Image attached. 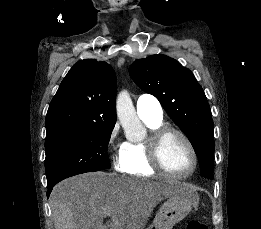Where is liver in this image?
<instances>
[{
	"label": "liver",
	"mask_w": 261,
	"mask_h": 229,
	"mask_svg": "<svg viewBox=\"0 0 261 229\" xmlns=\"http://www.w3.org/2000/svg\"><path fill=\"white\" fill-rule=\"evenodd\" d=\"M179 193L163 181L84 173L53 189L52 217L55 229H144L157 203Z\"/></svg>",
	"instance_id": "obj_1"
}]
</instances>
